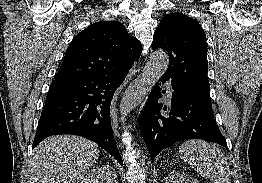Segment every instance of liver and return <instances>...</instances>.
<instances>
[{
	"label": "liver",
	"mask_w": 262,
	"mask_h": 183,
	"mask_svg": "<svg viewBox=\"0 0 262 183\" xmlns=\"http://www.w3.org/2000/svg\"><path fill=\"white\" fill-rule=\"evenodd\" d=\"M98 156V145L83 137L51 136L32 154L28 183H78Z\"/></svg>",
	"instance_id": "liver-1"
}]
</instances>
